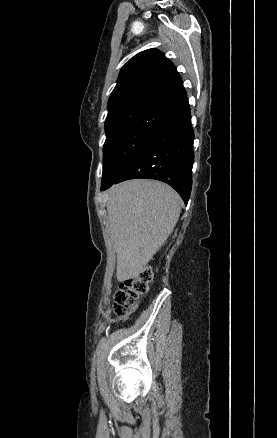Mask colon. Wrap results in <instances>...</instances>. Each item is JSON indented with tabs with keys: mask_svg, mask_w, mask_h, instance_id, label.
I'll list each match as a JSON object with an SVG mask.
<instances>
[{
	"mask_svg": "<svg viewBox=\"0 0 277 438\" xmlns=\"http://www.w3.org/2000/svg\"><path fill=\"white\" fill-rule=\"evenodd\" d=\"M150 272L149 268H145L139 276L127 278L120 284L115 294L113 307L115 316H124L135 306L137 299L149 291Z\"/></svg>",
	"mask_w": 277,
	"mask_h": 438,
	"instance_id": "obj_1",
	"label": "colon"
}]
</instances>
